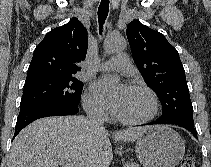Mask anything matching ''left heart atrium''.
I'll use <instances>...</instances> for the list:
<instances>
[{
    "label": "left heart atrium",
    "instance_id": "left-heart-atrium-1",
    "mask_svg": "<svg viewBox=\"0 0 211 167\" xmlns=\"http://www.w3.org/2000/svg\"><path fill=\"white\" fill-rule=\"evenodd\" d=\"M95 91L107 102L109 108L119 113L131 88L126 83H117L111 77H102L94 84Z\"/></svg>",
    "mask_w": 211,
    "mask_h": 167
}]
</instances>
